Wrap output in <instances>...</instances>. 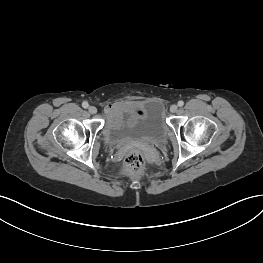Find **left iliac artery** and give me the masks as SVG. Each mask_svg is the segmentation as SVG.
Wrapping results in <instances>:
<instances>
[{
  "instance_id": "left-iliac-artery-1",
  "label": "left iliac artery",
  "mask_w": 263,
  "mask_h": 263,
  "mask_svg": "<svg viewBox=\"0 0 263 263\" xmlns=\"http://www.w3.org/2000/svg\"><path fill=\"white\" fill-rule=\"evenodd\" d=\"M184 105V102L182 101V100H180L179 102H178V106L179 107H182Z\"/></svg>"
}]
</instances>
